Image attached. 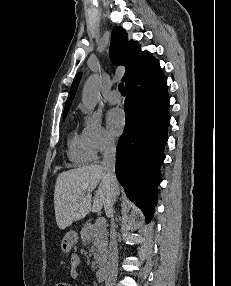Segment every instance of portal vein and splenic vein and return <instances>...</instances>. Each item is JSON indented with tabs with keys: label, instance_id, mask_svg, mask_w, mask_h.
<instances>
[{
	"label": "portal vein and splenic vein",
	"instance_id": "1",
	"mask_svg": "<svg viewBox=\"0 0 231 286\" xmlns=\"http://www.w3.org/2000/svg\"><path fill=\"white\" fill-rule=\"evenodd\" d=\"M105 223H106L105 219L100 217L96 220L95 225L98 228H103L105 226Z\"/></svg>",
	"mask_w": 231,
	"mask_h": 286
}]
</instances>
